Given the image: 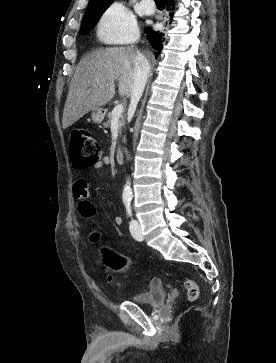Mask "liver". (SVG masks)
<instances>
[{
	"mask_svg": "<svg viewBox=\"0 0 276 363\" xmlns=\"http://www.w3.org/2000/svg\"><path fill=\"white\" fill-rule=\"evenodd\" d=\"M138 50L132 47L99 49L85 56L75 70L63 111L64 129L86 113L107 104L115 95H131Z\"/></svg>",
	"mask_w": 276,
	"mask_h": 363,
	"instance_id": "obj_1",
	"label": "liver"
}]
</instances>
